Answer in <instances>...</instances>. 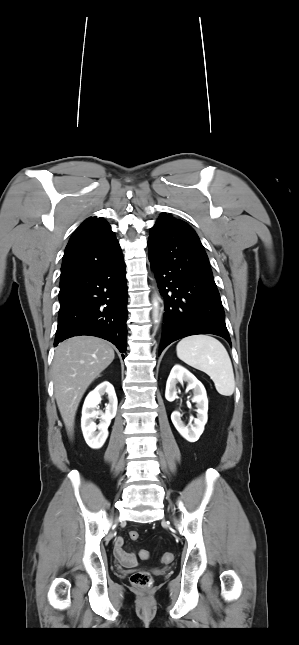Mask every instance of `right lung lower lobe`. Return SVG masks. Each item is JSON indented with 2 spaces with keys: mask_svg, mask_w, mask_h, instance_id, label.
<instances>
[{
  "mask_svg": "<svg viewBox=\"0 0 299 645\" xmlns=\"http://www.w3.org/2000/svg\"><path fill=\"white\" fill-rule=\"evenodd\" d=\"M59 300L54 345L73 336L90 335L110 341L125 353L127 283L122 256L60 289Z\"/></svg>",
  "mask_w": 299,
  "mask_h": 645,
  "instance_id": "98d812e1",
  "label": "right lung lower lobe"
}]
</instances>
